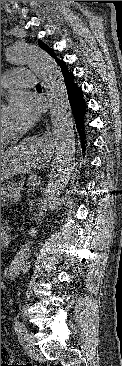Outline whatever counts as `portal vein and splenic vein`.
I'll return each mask as SVG.
<instances>
[{"instance_id": "portal-vein-and-splenic-vein-1", "label": "portal vein and splenic vein", "mask_w": 122, "mask_h": 366, "mask_svg": "<svg viewBox=\"0 0 122 366\" xmlns=\"http://www.w3.org/2000/svg\"><path fill=\"white\" fill-rule=\"evenodd\" d=\"M20 196H21L20 190L15 191L14 194L10 196L11 202L15 201V199L20 197Z\"/></svg>"}]
</instances>
